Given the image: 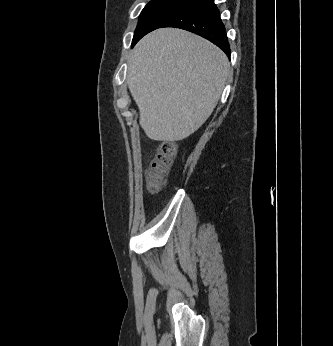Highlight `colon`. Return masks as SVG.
I'll use <instances>...</instances> for the list:
<instances>
[{
    "instance_id": "colon-1",
    "label": "colon",
    "mask_w": 333,
    "mask_h": 346,
    "mask_svg": "<svg viewBox=\"0 0 333 346\" xmlns=\"http://www.w3.org/2000/svg\"><path fill=\"white\" fill-rule=\"evenodd\" d=\"M175 154L174 144H161L147 174V187L151 193H158L165 185Z\"/></svg>"
}]
</instances>
